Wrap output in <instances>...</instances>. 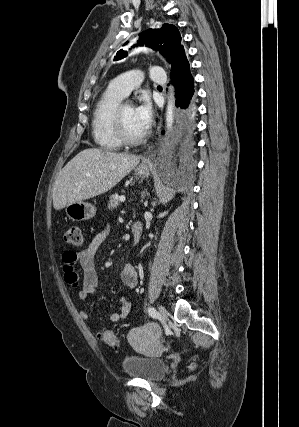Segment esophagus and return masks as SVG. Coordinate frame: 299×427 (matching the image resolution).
<instances>
[{
    "instance_id": "obj_1",
    "label": "esophagus",
    "mask_w": 299,
    "mask_h": 427,
    "mask_svg": "<svg viewBox=\"0 0 299 427\" xmlns=\"http://www.w3.org/2000/svg\"><path fill=\"white\" fill-rule=\"evenodd\" d=\"M148 162H149V160H148V159H145V160L143 161V165H147V164H148Z\"/></svg>"
}]
</instances>
